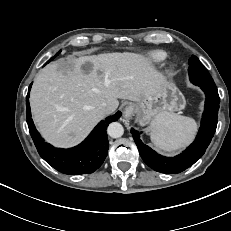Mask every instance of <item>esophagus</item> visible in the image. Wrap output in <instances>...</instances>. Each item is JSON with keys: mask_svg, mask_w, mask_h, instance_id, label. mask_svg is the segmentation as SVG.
<instances>
[{"mask_svg": "<svg viewBox=\"0 0 231 231\" xmlns=\"http://www.w3.org/2000/svg\"><path fill=\"white\" fill-rule=\"evenodd\" d=\"M136 113V107L134 105H128L125 107L123 116L125 119L130 120Z\"/></svg>", "mask_w": 231, "mask_h": 231, "instance_id": "obj_1", "label": "esophagus"}]
</instances>
